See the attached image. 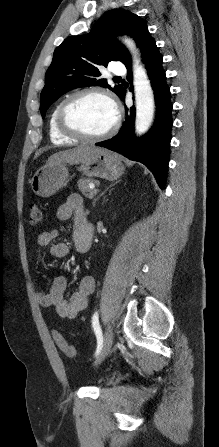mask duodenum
<instances>
[{"instance_id":"duodenum-1","label":"duodenum","mask_w":219,"mask_h":447,"mask_svg":"<svg viewBox=\"0 0 219 447\" xmlns=\"http://www.w3.org/2000/svg\"><path fill=\"white\" fill-rule=\"evenodd\" d=\"M82 225H83L84 242L82 244L81 251L87 252L90 248L91 240L94 234V229L86 218H84Z\"/></svg>"}]
</instances>
